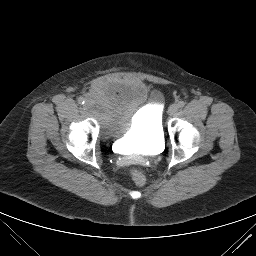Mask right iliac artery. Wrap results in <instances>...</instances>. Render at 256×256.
Masks as SVG:
<instances>
[{"label":"right iliac artery","mask_w":256,"mask_h":256,"mask_svg":"<svg viewBox=\"0 0 256 256\" xmlns=\"http://www.w3.org/2000/svg\"><path fill=\"white\" fill-rule=\"evenodd\" d=\"M78 103H79L80 105H83V104L85 103V99H84L83 97H79V98H78Z\"/></svg>","instance_id":"obj_1"}]
</instances>
